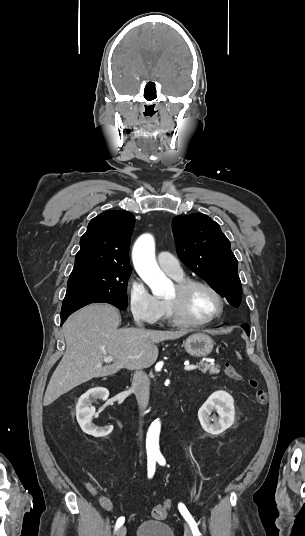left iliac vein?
Here are the masks:
<instances>
[{
  "instance_id": "obj_1",
  "label": "left iliac vein",
  "mask_w": 305,
  "mask_h": 536,
  "mask_svg": "<svg viewBox=\"0 0 305 536\" xmlns=\"http://www.w3.org/2000/svg\"><path fill=\"white\" fill-rule=\"evenodd\" d=\"M185 534L186 536H193L188 525H185Z\"/></svg>"
}]
</instances>
